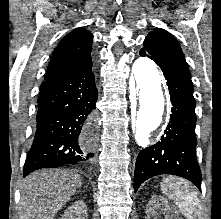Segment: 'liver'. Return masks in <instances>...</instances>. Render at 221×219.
<instances>
[{
  "label": "liver",
  "mask_w": 221,
  "mask_h": 219,
  "mask_svg": "<svg viewBox=\"0 0 221 219\" xmlns=\"http://www.w3.org/2000/svg\"><path fill=\"white\" fill-rule=\"evenodd\" d=\"M82 185L79 174L67 170H42L21 186L19 219H54Z\"/></svg>",
  "instance_id": "6515ba94"
}]
</instances>
